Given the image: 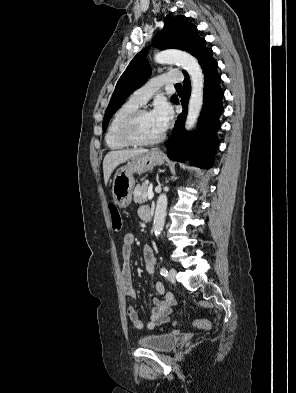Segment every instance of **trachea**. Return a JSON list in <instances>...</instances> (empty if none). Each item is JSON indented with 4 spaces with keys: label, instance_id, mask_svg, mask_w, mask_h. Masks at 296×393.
<instances>
[{
    "label": "trachea",
    "instance_id": "3493384b",
    "mask_svg": "<svg viewBox=\"0 0 296 393\" xmlns=\"http://www.w3.org/2000/svg\"><path fill=\"white\" fill-rule=\"evenodd\" d=\"M176 87H182V85L181 84H176Z\"/></svg>",
    "mask_w": 296,
    "mask_h": 393
}]
</instances>
